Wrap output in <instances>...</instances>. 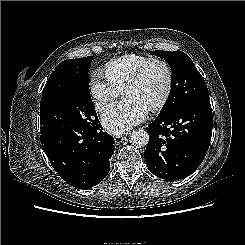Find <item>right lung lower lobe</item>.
<instances>
[{
    "mask_svg": "<svg viewBox=\"0 0 245 245\" xmlns=\"http://www.w3.org/2000/svg\"><path fill=\"white\" fill-rule=\"evenodd\" d=\"M42 147L52 167L68 184L89 189L109 173L114 139L97 119L89 127H41Z\"/></svg>",
    "mask_w": 245,
    "mask_h": 245,
    "instance_id": "98d812e1",
    "label": "right lung lower lobe"
}]
</instances>
